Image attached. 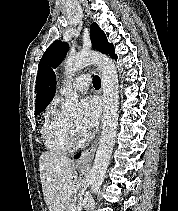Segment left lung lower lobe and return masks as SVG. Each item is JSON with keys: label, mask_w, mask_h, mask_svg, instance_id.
Returning a JSON list of instances; mask_svg holds the SVG:
<instances>
[{"label": "left lung lower lobe", "mask_w": 178, "mask_h": 211, "mask_svg": "<svg viewBox=\"0 0 178 211\" xmlns=\"http://www.w3.org/2000/svg\"><path fill=\"white\" fill-rule=\"evenodd\" d=\"M79 156H80V154H77V155L74 156V158H78Z\"/></svg>", "instance_id": "obj_1"}]
</instances>
